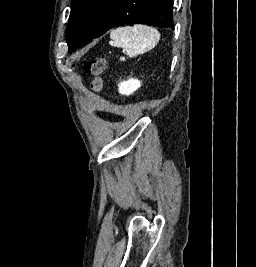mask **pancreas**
<instances>
[{
  "label": "pancreas",
  "instance_id": "obj_1",
  "mask_svg": "<svg viewBox=\"0 0 256 267\" xmlns=\"http://www.w3.org/2000/svg\"><path fill=\"white\" fill-rule=\"evenodd\" d=\"M121 62H125V58H120Z\"/></svg>",
  "mask_w": 256,
  "mask_h": 267
}]
</instances>
